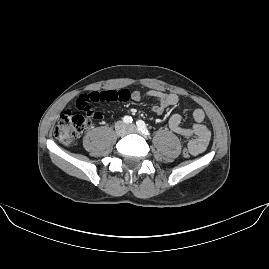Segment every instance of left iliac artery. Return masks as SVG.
<instances>
[{"label":"left iliac artery","mask_w":269,"mask_h":269,"mask_svg":"<svg viewBox=\"0 0 269 269\" xmlns=\"http://www.w3.org/2000/svg\"><path fill=\"white\" fill-rule=\"evenodd\" d=\"M136 124H137L138 130H139L141 133H143V134H145V135H150V133H149V131H148V129H147L146 124H145L144 121H142V120H138V121L136 122Z\"/></svg>","instance_id":"obj_1"}]
</instances>
